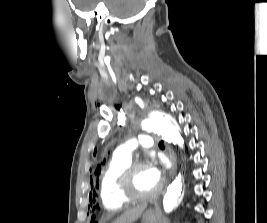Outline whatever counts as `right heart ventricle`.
<instances>
[{"label":"right heart ventricle","mask_w":267,"mask_h":223,"mask_svg":"<svg viewBox=\"0 0 267 223\" xmlns=\"http://www.w3.org/2000/svg\"><path fill=\"white\" fill-rule=\"evenodd\" d=\"M130 163L129 159L113 156L102 175L100 198L108 211H117L127 204L121 197L118 182L120 175Z\"/></svg>","instance_id":"1"}]
</instances>
